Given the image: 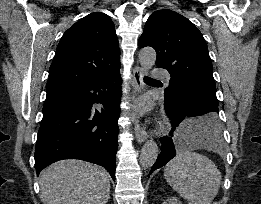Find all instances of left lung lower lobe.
<instances>
[{
	"instance_id": "0a47b994",
	"label": "left lung lower lobe",
	"mask_w": 261,
	"mask_h": 204,
	"mask_svg": "<svg viewBox=\"0 0 261 204\" xmlns=\"http://www.w3.org/2000/svg\"><path fill=\"white\" fill-rule=\"evenodd\" d=\"M165 110L170 119L173 131L179 124L188 117L201 116L207 117L196 127L198 137L218 140L220 138V127L217 120L219 113L218 104L206 95L191 89H185L176 93L173 98H165ZM184 133V131H181ZM161 153L153 165L150 174L164 166L168 161L176 156L177 147L171 137L165 136L161 140Z\"/></svg>"
}]
</instances>
